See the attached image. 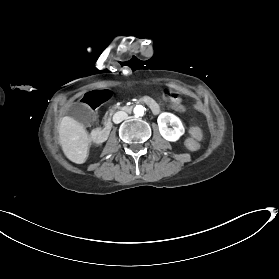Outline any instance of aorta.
<instances>
[{
    "mask_svg": "<svg viewBox=\"0 0 279 279\" xmlns=\"http://www.w3.org/2000/svg\"><path fill=\"white\" fill-rule=\"evenodd\" d=\"M145 108L142 105H137L134 108V114L137 116H142L144 114Z\"/></svg>",
    "mask_w": 279,
    "mask_h": 279,
    "instance_id": "762f6f07",
    "label": "aorta"
}]
</instances>
